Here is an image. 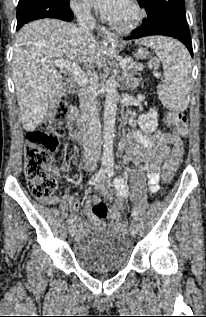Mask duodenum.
Masks as SVG:
<instances>
[{"mask_svg":"<svg viewBox=\"0 0 206 317\" xmlns=\"http://www.w3.org/2000/svg\"><path fill=\"white\" fill-rule=\"evenodd\" d=\"M68 125L75 140L84 141L87 137L85 126L76 109H70Z\"/></svg>","mask_w":206,"mask_h":317,"instance_id":"410a0bca","label":"duodenum"}]
</instances>
